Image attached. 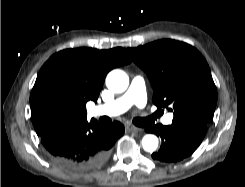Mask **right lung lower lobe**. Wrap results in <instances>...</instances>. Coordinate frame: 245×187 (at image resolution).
Returning <instances> with one entry per match:
<instances>
[{
	"mask_svg": "<svg viewBox=\"0 0 245 187\" xmlns=\"http://www.w3.org/2000/svg\"><path fill=\"white\" fill-rule=\"evenodd\" d=\"M124 134L120 122L102 127L87 119L56 125L42 135L41 142L53 158L65 168L87 172L101 167L110 155L116 140Z\"/></svg>",
	"mask_w": 245,
	"mask_h": 187,
	"instance_id": "right-lung-lower-lobe-1",
	"label": "right lung lower lobe"
}]
</instances>
